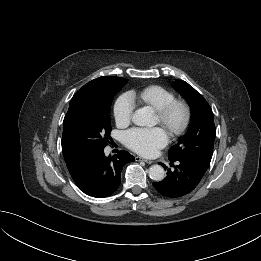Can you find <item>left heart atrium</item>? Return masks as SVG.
Returning a JSON list of instances; mask_svg holds the SVG:
<instances>
[{"instance_id":"left-heart-atrium-1","label":"left heart atrium","mask_w":261,"mask_h":261,"mask_svg":"<svg viewBox=\"0 0 261 261\" xmlns=\"http://www.w3.org/2000/svg\"><path fill=\"white\" fill-rule=\"evenodd\" d=\"M126 145L136 153L152 156L168 141L167 133L160 127L133 128L125 134Z\"/></svg>"}]
</instances>
